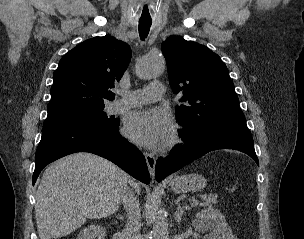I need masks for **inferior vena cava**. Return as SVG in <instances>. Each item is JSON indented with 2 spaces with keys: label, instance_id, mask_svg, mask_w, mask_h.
<instances>
[{
  "label": "inferior vena cava",
  "instance_id": "inferior-vena-cava-1",
  "mask_svg": "<svg viewBox=\"0 0 304 239\" xmlns=\"http://www.w3.org/2000/svg\"><path fill=\"white\" fill-rule=\"evenodd\" d=\"M129 184L133 187V180H130ZM121 199L128 214L125 228L127 239H143L140 234L141 208L137 198L134 196L132 190L125 187L122 192Z\"/></svg>",
  "mask_w": 304,
  "mask_h": 239
}]
</instances>
